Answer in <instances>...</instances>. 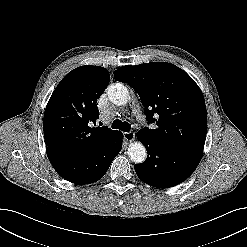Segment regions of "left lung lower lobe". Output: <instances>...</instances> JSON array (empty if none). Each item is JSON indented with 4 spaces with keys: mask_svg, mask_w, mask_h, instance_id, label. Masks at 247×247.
Here are the masks:
<instances>
[{
    "mask_svg": "<svg viewBox=\"0 0 247 247\" xmlns=\"http://www.w3.org/2000/svg\"><path fill=\"white\" fill-rule=\"evenodd\" d=\"M147 149V159L135 165L139 179L157 188L173 187L185 181L198 166L202 155L168 148L137 133Z\"/></svg>",
    "mask_w": 247,
    "mask_h": 247,
    "instance_id": "left-lung-lower-lobe-1",
    "label": "left lung lower lobe"
}]
</instances>
